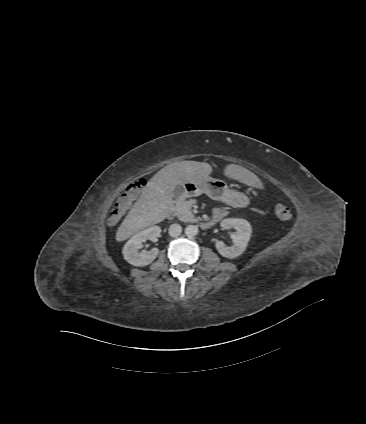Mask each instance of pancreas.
Here are the masks:
<instances>
[{
	"mask_svg": "<svg viewBox=\"0 0 366 424\" xmlns=\"http://www.w3.org/2000/svg\"><path fill=\"white\" fill-rule=\"evenodd\" d=\"M193 204V200H180L177 202V215L181 221L192 223L197 222V219L194 217L191 211Z\"/></svg>",
	"mask_w": 366,
	"mask_h": 424,
	"instance_id": "1",
	"label": "pancreas"
}]
</instances>
